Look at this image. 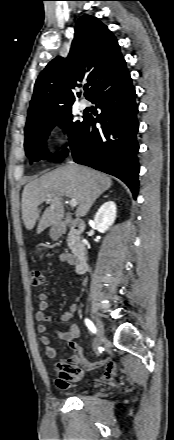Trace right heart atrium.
<instances>
[{
	"label": "right heart atrium",
	"mask_w": 174,
	"mask_h": 440,
	"mask_svg": "<svg viewBox=\"0 0 174 440\" xmlns=\"http://www.w3.org/2000/svg\"><path fill=\"white\" fill-rule=\"evenodd\" d=\"M62 131H63V127H62V125L59 124V123H55V124L52 126V129H51V138H52L54 141H58L59 138H60L61 135H62Z\"/></svg>",
	"instance_id": "right-heart-atrium-1"
}]
</instances>
